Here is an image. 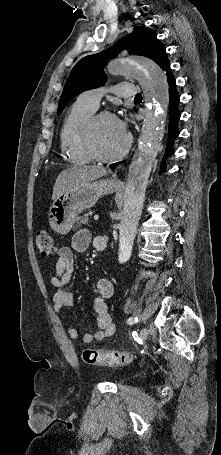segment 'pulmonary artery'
I'll list each match as a JSON object with an SVG mask.
<instances>
[{
    "instance_id": "1",
    "label": "pulmonary artery",
    "mask_w": 221,
    "mask_h": 455,
    "mask_svg": "<svg viewBox=\"0 0 221 455\" xmlns=\"http://www.w3.org/2000/svg\"><path fill=\"white\" fill-rule=\"evenodd\" d=\"M119 96L127 97L137 95V88L131 83H119L112 88ZM104 88H94L83 92L80 99L94 109L98 108L99 102L105 93Z\"/></svg>"
}]
</instances>
